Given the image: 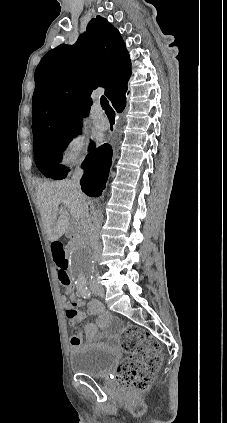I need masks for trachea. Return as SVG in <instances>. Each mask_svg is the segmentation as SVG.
<instances>
[{
	"label": "trachea",
	"mask_w": 227,
	"mask_h": 423,
	"mask_svg": "<svg viewBox=\"0 0 227 423\" xmlns=\"http://www.w3.org/2000/svg\"><path fill=\"white\" fill-rule=\"evenodd\" d=\"M100 104H101V107L103 108V110H105V113H106V115L109 117V116H115V112H114V110L111 108V106L109 105V102H108V100H107V98L106 97H104L103 95H102V97L100 98Z\"/></svg>",
	"instance_id": "obj_1"
}]
</instances>
